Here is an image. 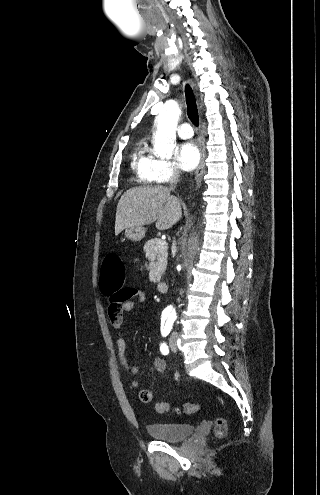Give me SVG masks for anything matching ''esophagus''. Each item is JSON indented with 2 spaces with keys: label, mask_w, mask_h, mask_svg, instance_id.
<instances>
[{
  "label": "esophagus",
  "mask_w": 320,
  "mask_h": 495,
  "mask_svg": "<svg viewBox=\"0 0 320 495\" xmlns=\"http://www.w3.org/2000/svg\"><path fill=\"white\" fill-rule=\"evenodd\" d=\"M201 160L200 164L195 172V181L197 184L201 183L202 177L205 172V146L202 138L200 139Z\"/></svg>",
  "instance_id": "1"
}]
</instances>
